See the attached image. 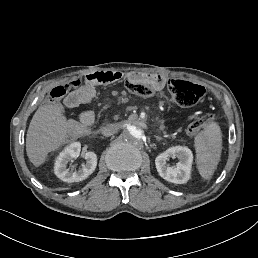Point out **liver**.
<instances>
[{"instance_id": "6515ba94", "label": "liver", "mask_w": 258, "mask_h": 258, "mask_svg": "<svg viewBox=\"0 0 258 258\" xmlns=\"http://www.w3.org/2000/svg\"><path fill=\"white\" fill-rule=\"evenodd\" d=\"M61 110L59 103L47 104L40 106L33 115L27 131L26 152L35 167L45 162L49 152L67 142L68 134L76 123L67 120Z\"/></svg>"}]
</instances>
